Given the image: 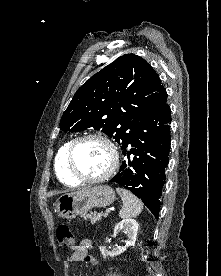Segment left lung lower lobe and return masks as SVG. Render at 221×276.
Instances as JSON below:
<instances>
[{
	"mask_svg": "<svg viewBox=\"0 0 221 276\" xmlns=\"http://www.w3.org/2000/svg\"><path fill=\"white\" fill-rule=\"evenodd\" d=\"M171 110L167 102L142 123L122 154L127 157L110 181L130 190L158 218L169 162Z\"/></svg>",
	"mask_w": 221,
	"mask_h": 276,
	"instance_id": "obj_1",
	"label": "left lung lower lobe"
}]
</instances>
